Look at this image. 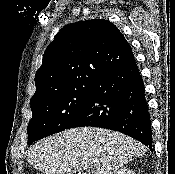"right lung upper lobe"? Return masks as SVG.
<instances>
[{
  "label": "right lung upper lobe",
  "mask_w": 175,
  "mask_h": 174,
  "mask_svg": "<svg viewBox=\"0 0 175 174\" xmlns=\"http://www.w3.org/2000/svg\"><path fill=\"white\" fill-rule=\"evenodd\" d=\"M132 58L129 43L110 21L94 19L68 24L44 53L30 105L65 91L95 85L108 71Z\"/></svg>",
  "instance_id": "obj_1"
}]
</instances>
